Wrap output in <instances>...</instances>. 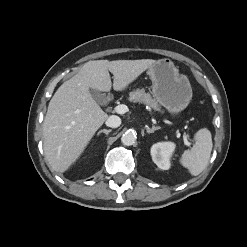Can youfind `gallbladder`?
Segmentation results:
<instances>
[{
  "instance_id": "gallbladder-1",
  "label": "gallbladder",
  "mask_w": 247,
  "mask_h": 247,
  "mask_svg": "<svg viewBox=\"0 0 247 247\" xmlns=\"http://www.w3.org/2000/svg\"><path fill=\"white\" fill-rule=\"evenodd\" d=\"M93 98L100 104H103L106 101V95L100 91L97 90H90Z\"/></svg>"
}]
</instances>
